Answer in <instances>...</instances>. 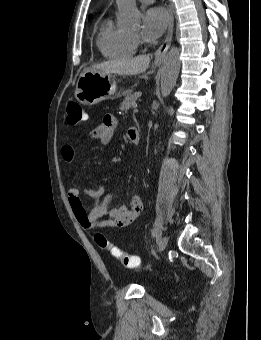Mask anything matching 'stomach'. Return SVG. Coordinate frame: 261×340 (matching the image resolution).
<instances>
[{
    "instance_id": "1",
    "label": "stomach",
    "mask_w": 261,
    "mask_h": 340,
    "mask_svg": "<svg viewBox=\"0 0 261 340\" xmlns=\"http://www.w3.org/2000/svg\"><path fill=\"white\" fill-rule=\"evenodd\" d=\"M116 87L112 74L86 70L77 81L75 97L81 104L91 106L113 97Z\"/></svg>"
}]
</instances>
